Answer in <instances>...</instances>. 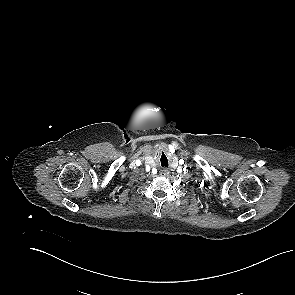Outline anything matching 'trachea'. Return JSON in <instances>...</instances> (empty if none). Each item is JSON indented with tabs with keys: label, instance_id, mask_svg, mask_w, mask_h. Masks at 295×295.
Segmentation results:
<instances>
[{
	"label": "trachea",
	"instance_id": "3493384b",
	"mask_svg": "<svg viewBox=\"0 0 295 295\" xmlns=\"http://www.w3.org/2000/svg\"><path fill=\"white\" fill-rule=\"evenodd\" d=\"M161 166L162 167H168V160H167L165 155L161 156Z\"/></svg>",
	"mask_w": 295,
	"mask_h": 295
}]
</instances>
